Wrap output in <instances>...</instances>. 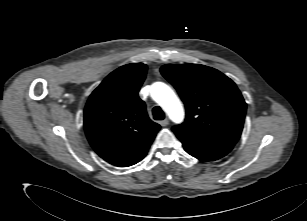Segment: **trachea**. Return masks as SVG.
Here are the masks:
<instances>
[{"mask_svg":"<svg viewBox=\"0 0 307 221\" xmlns=\"http://www.w3.org/2000/svg\"><path fill=\"white\" fill-rule=\"evenodd\" d=\"M152 114L155 120H163L165 117L163 110L159 106L153 108Z\"/></svg>","mask_w":307,"mask_h":221,"instance_id":"3493384b","label":"trachea"}]
</instances>
